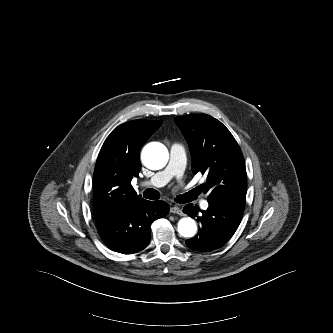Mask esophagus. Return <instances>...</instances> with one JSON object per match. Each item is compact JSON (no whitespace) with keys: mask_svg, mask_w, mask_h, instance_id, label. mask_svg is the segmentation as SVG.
Masks as SVG:
<instances>
[{"mask_svg":"<svg viewBox=\"0 0 333 333\" xmlns=\"http://www.w3.org/2000/svg\"><path fill=\"white\" fill-rule=\"evenodd\" d=\"M170 212H171V213H174V214H178V215H180V216L183 215L182 210H181L178 206H173V207H171V208H170Z\"/></svg>","mask_w":333,"mask_h":333,"instance_id":"1","label":"esophagus"}]
</instances>
